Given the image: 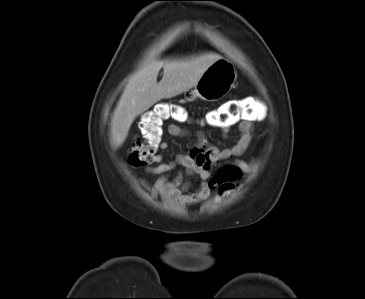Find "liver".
Wrapping results in <instances>:
<instances>
[{"instance_id": "6515ba94", "label": "liver", "mask_w": 365, "mask_h": 299, "mask_svg": "<svg viewBox=\"0 0 365 299\" xmlns=\"http://www.w3.org/2000/svg\"><path fill=\"white\" fill-rule=\"evenodd\" d=\"M220 58L218 54L205 53L185 59L153 61L133 74L112 114V145L118 148L125 142L138 115L161 99L175 97L193 88L205 70ZM161 68L163 77L157 83Z\"/></svg>"}]
</instances>
